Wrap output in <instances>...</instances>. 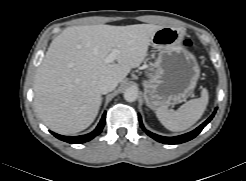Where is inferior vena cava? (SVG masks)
Here are the masks:
<instances>
[{"label": "inferior vena cava", "mask_w": 246, "mask_h": 181, "mask_svg": "<svg viewBox=\"0 0 246 181\" xmlns=\"http://www.w3.org/2000/svg\"><path fill=\"white\" fill-rule=\"evenodd\" d=\"M116 86L117 81L111 76H102L98 81V89L102 94L113 91Z\"/></svg>", "instance_id": "inferior-vena-cava-1"}]
</instances>
